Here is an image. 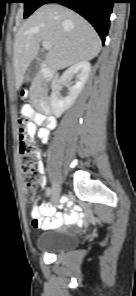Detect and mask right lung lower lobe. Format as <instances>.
<instances>
[{"instance_id":"obj_1","label":"right lung lower lobe","mask_w":136,"mask_h":296,"mask_svg":"<svg viewBox=\"0 0 136 296\" xmlns=\"http://www.w3.org/2000/svg\"><path fill=\"white\" fill-rule=\"evenodd\" d=\"M69 7L87 19L100 35L103 43L109 29V18L115 0H45Z\"/></svg>"}]
</instances>
